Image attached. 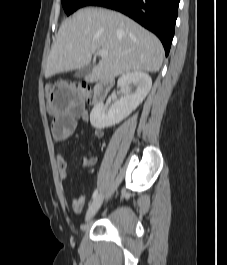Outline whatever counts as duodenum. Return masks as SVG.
Segmentation results:
<instances>
[{
    "mask_svg": "<svg viewBox=\"0 0 227 265\" xmlns=\"http://www.w3.org/2000/svg\"><path fill=\"white\" fill-rule=\"evenodd\" d=\"M112 86L113 81L111 79L102 78L97 80L93 89L92 103L95 105L102 102L107 97Z\"/></svg>",
    "mask_w": 227,
    "mask_h": 265,
    "instance_id": "obj_1",
    "label": "duodenum"
}]
</instances>
